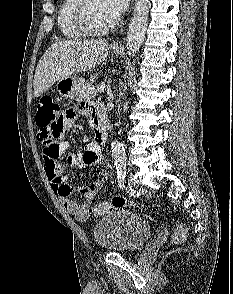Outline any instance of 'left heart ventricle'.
I'll use <instances>...</instances> for the list:
<instances>
[{"instance_id":"b2bd125f","label":"left heart ventricle","mask_w":233,"mask_h":294,"mask_svg":"<svg viewBox=\"0 0 233 294\" xmlns=\"http://www.w3.org/2000/svg\"><path fill=\"white\" fill-rule=\"evenodd\" d=\"M89 17L92 25L96 28L105 27L116 20L108 11L104 0H91Z\"/></svg>"}]
</instances>
